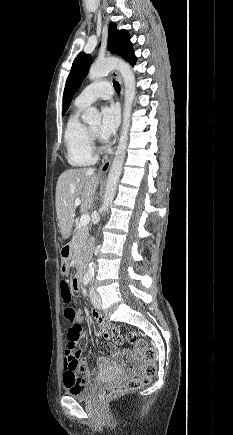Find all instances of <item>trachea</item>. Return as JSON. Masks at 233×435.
Wrapping results in <instances>:
<instances>
[{"mask_svg":"<svg viewBox=\"0 0 233 435\" xmlns=\"http://www.w3.org/2000/svg\"><path fill=\"white\" fill-rule=\"evenodd\" d=\"M113 85H114V89H115V91H116V92H120V85H119V83H118L117 81H114V82H113Z\"/></svg>","mask_w":233,"mask_h":435,"instance_id":"trachea-1","label":"trachea"}]
</instances>
